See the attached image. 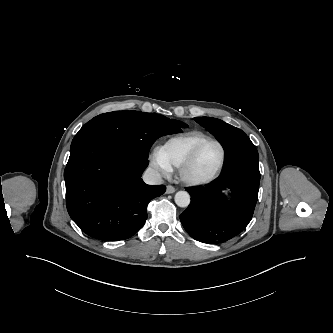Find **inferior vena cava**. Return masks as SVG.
I'll return each instance as SVG.
<instances>
[{"mask_svg": "<svg viewBox=\"0 0 333 333\" xmlns=\"http://www.w3.org/2000/svg\"><path fill=\"white\" fill-rule=\"evenodd\" d=\"M143 180L146 184H149V185H159V184L163 183V180H162L160 174L152 168H148L144 172Z\"/></svg>", "mask_w": 333, "mask_h": 333, "instance_id": "obj_1", "label": "inferior vena cava"}]
</instances>
